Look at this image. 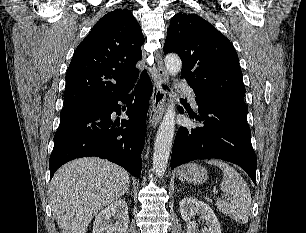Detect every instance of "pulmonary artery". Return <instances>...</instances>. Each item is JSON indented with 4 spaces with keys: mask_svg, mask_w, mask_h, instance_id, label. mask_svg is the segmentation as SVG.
I'll return each instance as SVG.
<instances>
[{
    "mask_svg": "<svg viewBox=\"0 0 306 233\" xmlns=\"http://www.w3.org/2000/svg\"><path fill=\"white\" fill-rule=\"evenodd\" d=\"M177 88L181 91H183L187 97L189 98L190 102L192 103V105L194 107H196V101H195V95H194V90L193 88H191L190 86L182 83V82H179L177 84Z\"/></svg>",
    "mask_w": 306,
    "mask_h": 233,
    "instance_id": "e3ab8cb5",
    "label": "pulmonary artery"
}]
</instances>
